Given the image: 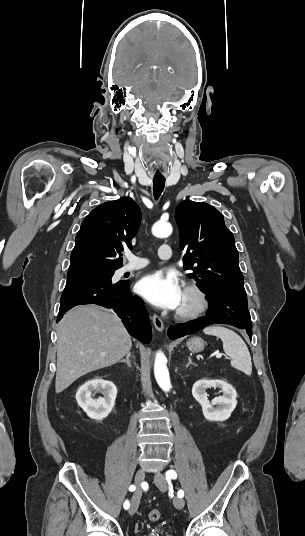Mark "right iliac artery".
Here are the masks:
<instances>
[{"mask_svg":"<svg viewBox=\"0 0 305 536\" xmlns=\"http://www.w3.org/2000/svg\"><path fill=\"white\" fill-rule=\"evenodd\" d=\"M135 489H136L135 485H131V486L129 487V491H131V492H133ZM129 507H130V503H129L128 500H126V501L124 502V509L127 510V509H129Z\"/></svg>","mask_w":305,"mask_h":536,"instance_id":"82829eb1","label":"right iliac artery"}]
</instances>
